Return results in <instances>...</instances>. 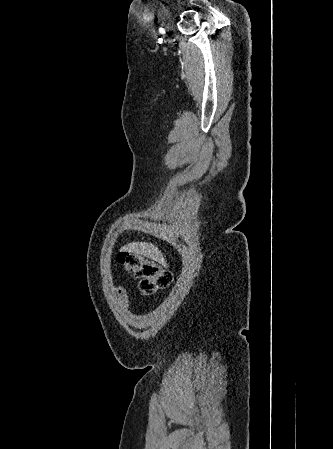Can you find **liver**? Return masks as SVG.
<instances>
[{
  "label": "liver",
  "mask_w": 333,
  "mask_h": 449,
  "mask_svg": "<svg viewBox=\"0 0 333 449\" xmlns=\"http://www.w3.org/2000/svg\"><path fill=\"white\" fill-rule=\"evenodd\" d=\"M121 251H128L135 254L143 255L147 258H151L157 261L159 264L166 266L165 258L161 251L152 244H148L146 242H133L121 248Z\"/></svg>",
  "instance_id": "6515ba94"
}]
</instances>
